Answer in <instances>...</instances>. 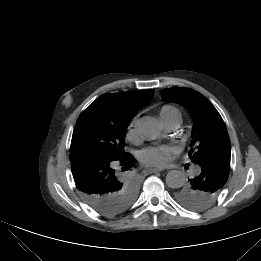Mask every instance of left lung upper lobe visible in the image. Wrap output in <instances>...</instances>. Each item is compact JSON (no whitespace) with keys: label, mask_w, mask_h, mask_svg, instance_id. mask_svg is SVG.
Wrapping results in <instances>:
<instances>
[{"label":"left lung upper lobe","mask_w":261,"mask_h":261,"mask_svg":"<svg viewBox=\"0 0 261 261\" xmlns=\"http://www.w3.org/2000/svg\"><path fill=\"white\" fill-rule=\"evenodd\" d=\"M162 98L168 102L183 105L193 118L192 141L189 152L191 161L200 165L204 161L214 160L230 162V141L222 117L211 102L199 92L189 88H166ZM206 195L194 189L190 183L181 186L176 192V199L193 210H202L210 206L219 196Z\"/></svg>","instance_id":"obj_1"}]
</instances>
